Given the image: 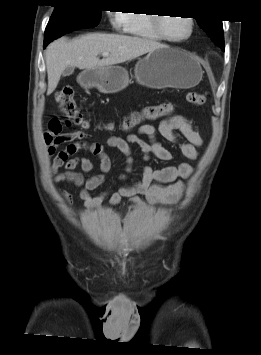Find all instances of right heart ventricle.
Returning <instances> with one entry per match:
<instances>
[{
	"instance_id": "1",
	"label": "right heart ventricle",
	"mask_w": 261,
	"mask_h": 355,
	"mask_svg": "<svg viewBox=\"0 0 261 355\" xmlns=\"http://www.w3.org/2000/svg\"><path fill=\"white\" fill-rule=\"evenodd\" d=\"M153 15L148 12H131L127 14V32L135 37L161 40L153 26Z\"/></svg>"
}]
</instances>
